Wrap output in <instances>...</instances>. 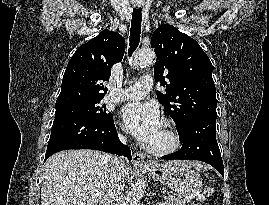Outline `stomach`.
<instances>
[{
  "label": "stomach",
  "mask_w": 269,
  "mask_h": 205,
  "mask_svg": "<svg viewBox=\"0 0 269 205\" xmlns=\"http://www.w3.org/2000/svg\"><path fill=\"white\" fill-rule=\"evenodd\" d=\"M149 176L167 184L183 204L203 195L200 175L185 161H169L148 166Z\"/></svg>",
  "instance_id": "0dacf381"
}]
</instances>
